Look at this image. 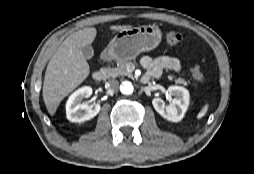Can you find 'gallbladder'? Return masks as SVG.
I'll use <instances>...</instances> for the list:
<instances>
[{"mask_svg": "<svg viewBox=\"0 0 254 174\" xmlns=\"http://www.w3.org/2000/svg\"><path fill=\"white\" fill-rule=\"evenodd\" d=\"M81 52L86 59H91L94 55V50L90 45L81 47Z\"/></svg>", "mask_w": 254, "mask_h": 174, "instance_id": "bac80fb5", "label": "gallbladder"}]
</instances>
